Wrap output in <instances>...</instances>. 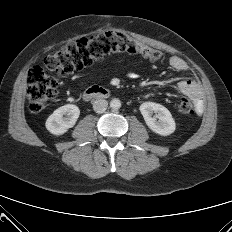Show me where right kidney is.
I'll return each instance as SVG.
<instances>
[{
  "mask_svg": "<svg viewBox=\"0 0 232 232\" xmlns=\"http://www.w3.org/2000/svg\"><path fill=\"white\" fill-rule=\"evenodd\" d=\"M80 115L74 104H66L56 109L46 120L47 130L54 135H62L72 128Z\"/></svg>",
  "mask_w": 232,
  "mask_h": 232,
  "instance_id": "right-kidney-1",
  "label": "right kidney"
}]
</instances>
